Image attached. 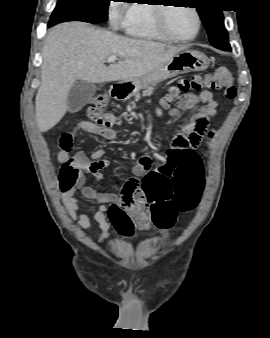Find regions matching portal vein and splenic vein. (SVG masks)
<instances>
[{
  "label": "portal vein and splenic vein",
  "mask_w": 270,
  "mask_h": 338,
  "mask_svg": "<svg viewBox=\"0 0 270 338\" xmlns=\"http://www.w3.org/2000/svg\"><path fill=\"white\" fill-rule=\"evenodd\" d=\"M116 60H117V57L112 55L107 59V62L108 63H114Z\"/></svg>",
  "instance_id": "1"
}]
</instances>
